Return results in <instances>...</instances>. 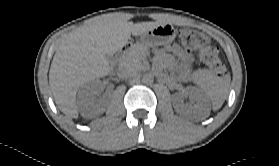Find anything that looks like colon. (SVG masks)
Here are the masks:
<instances>
[{
    "mask_svg": "<svg viewBox=\"0 0 279 166\" xmlns=\"http://www.w3.org/2000/svg\"><path fill=\"white\" fill-rule=\"evenodd\" d=\"M183 47L197 54L199 60L219 76L226 75L224 64L219 57L218 50L211 45L208 37L195 29H183L179 32Z\"/></svg>",
    "mask_w": 279,
    "mask_h": 166,
    "instance_id": "1",
    "label": "colon"
}]
</instances>
